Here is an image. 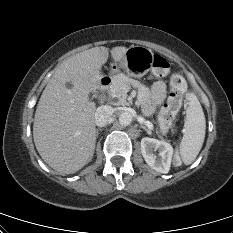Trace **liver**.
I'll return each instance as SVG.
<instances>
[{
  "instance_id": "liver-1",
  "label": "liver",
  "mask_w": 233,
  "mask_h": 233,
  "mask_svg": "<svg viewBox=\"0 0 233 233\" xmlns=\"http://www.w3.org/2000/svg\"><path fill=\"white\" fill-rule=\"evenodd\" d=\"M127 49L112 48L113 60L119 62ZM108 56V48L101 46L68 58L40 97L33 124L34 143L44 162L60 175L73 174L92 160L96 106L89 101V93L100 87L101 68Z\"/></svg>"
}]
</instances>
